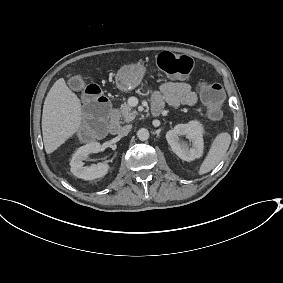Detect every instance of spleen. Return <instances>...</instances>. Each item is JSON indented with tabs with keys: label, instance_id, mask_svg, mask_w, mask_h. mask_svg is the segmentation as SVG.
<instances>
[{
	"label": "spleen",
	"instance_id": "spleen-1",
	"mask_svg": "<svg viewBox=\"0 0 283 283\" xmlns=\"http://www.w3.org/2000/svg\"><path fill=\"white\" fill-rule=\"evenodd\" d=\"M231 143V136L228 132H221L213 140L209 152L200 165L199 175H204L213 170L227 153Z\"/></svg>",
	"mask_w": 283,
	"mask_h": 283
}]
</instances>
